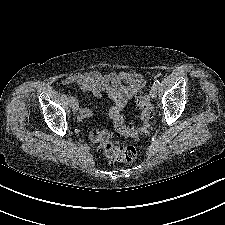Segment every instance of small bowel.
<instances>
[{
  "mask_svg": "<svg viewBox=\"0 0 225 225\" xmlns=\"http://www.w3.org/2000/svg\"><path fill=\"white\" fill-rule=\"evenodd\" d=\"M62 83L64 85H78L82 90L89 91L96 97H101L103 93H106L112 102L111 114L112 110L123 109L127 101L142 90L145 80L141 74L129 71L119 73L91 71L71 74ZM90 116V108H82L79 112V119Z\"/></svg>",
  "mask_w": 225,
  "mask_h": 225,
  "instance_id": "small-bowel-1",
  "label": "small bowel"
}]
</instances>
